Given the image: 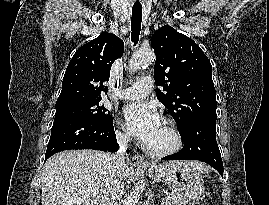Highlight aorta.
Listing matches in <instances>:
<instances>
[{
	"mask_svg": "<svg viewBox=\"0 0 269 205\" xmlns=\"http://www.w3.org/2000/svg\"><path fill=\"white\" fill-rule=\"evenodd\" d=\"M154 60L155 54L153 51L139 50L131 57L129 69L131 71H137L143 66L150 65ZM143 189L142 184H136L130 194L125 198L123 205H138Z\"/></svg>",
	"mask_w": 269,
	"mask_h": 205,
	"instance_id": "aorta-1",
	"label": "aorta"
}]
</instances>
